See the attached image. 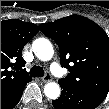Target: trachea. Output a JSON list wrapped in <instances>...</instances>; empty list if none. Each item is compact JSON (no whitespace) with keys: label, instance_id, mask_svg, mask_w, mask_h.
I'll use <instances>...</instances> for the list:
<instances>
[{"label":"trachea","instance_id":"trachea-1","mask_svg":"<svg viewBox=\"0 0 109 109\" xmlns=\"http://www.w3.org/2000/svg\"><path fill=\"white\" fill-rule=\"evenodd\" d=\"M30 75L32 77H42L44 76V69L40 66H33L30 70Z\"/></svg>","mask_w":109,"mask_h":109}]
</instances>
